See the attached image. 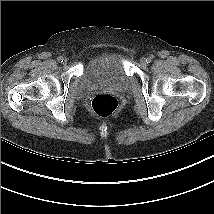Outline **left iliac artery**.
<instances>
[{"label":"left iliac artery","mask_w":214,"mask_h":214,"mask_svg":"<svg viewBox=\"0 0 214 214\" xmlns=\"http://www.w3.org/2000/svg\"><path fill=\"white\" fill-rule=\"evenodd\" d=\"M153 58H154V55L151 54V55L149 56V58H148L149 62H150Z\"/></svg>","instance_id":"left-iliac-artery-1"}]
</instances>
